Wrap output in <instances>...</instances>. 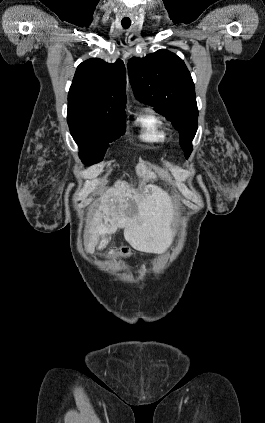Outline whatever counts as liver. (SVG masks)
<instances>
[{"mask_svg": "<svg viewBox=\"0 0 265 423\" xmlns=\"http://www.w3.org/2000/svg\"><path fill=\"white\" fill-rule=\"evenodd\" d=\"M136 173L143 182L156 179L144 162L136 166ZM150 193L136 194L122 181H117L99 199V207L90 222L85 249L92 254L100 237L124 228L125 240L136 250L162 254L172 244L175 232L171 228L174 207L170 197L160 188L147 185ZM137 214L129 216L132 204Z\"/></svg>", "mask_w": 265, "mask_h": 423, "instance_id": "obj_1", "label": "liver"}]
</instances>
